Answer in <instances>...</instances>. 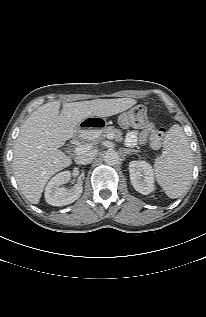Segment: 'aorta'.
<instances>
[{"label":"aorta","instance_id":"762f6f07","mask_svg":"<svg viewBox=\"0 0 206 317\" xmlns=\"http://www.w3.org/2000/svg\"><path fill=\"white\" fill-rule=\"evenodd\" d=\"M120 160L118 152L115 150H109L105 153L104 161L108 165H116Z\"/></svg>","mask_w":206,"mask_h":317}]
</instances>
